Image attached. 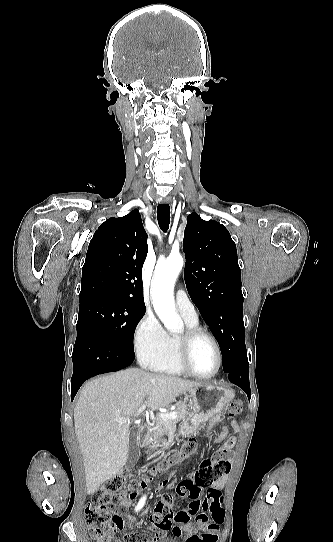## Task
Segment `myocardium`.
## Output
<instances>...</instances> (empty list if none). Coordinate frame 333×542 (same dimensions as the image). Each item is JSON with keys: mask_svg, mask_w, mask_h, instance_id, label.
Masks as SVG:
<instances>
[{"mask_svg": "<svg viewBox=\"0 0 333 542\" xmlns=\"http://www.w3.org/2000/svg\"><path fill=\"white\" fill-rule=\"evenodd\" d=\"M200 338H206L208 339L212 345L214 346V349L217 354V366L213 373L209 375H201L196 373L192 370L190 366V352L191 347L195 341H197ZM176 356L178 359V362L182 368V370L187 373L188 375L198 378V379H211L215 377L218 372L221 369L222 366V352L220 345L216 338L207 332L206 330L196 327V328H188L186 329L181 335H179L176 339Z\"/></svg>", "mask_w": 333, "mask_h": 542, "instance_id": "obj_1", "label": "myocardium"}]
</instances>
